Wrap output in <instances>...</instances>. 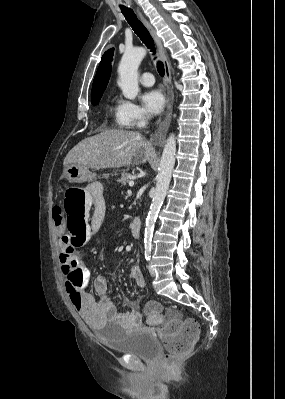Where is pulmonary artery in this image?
Returning <instances> with one entry per match:
<instances>
[{"label":"pulmonary artery","instance_id":"pulmonary-artery-1","mask_svg":"<svg viewBox=\"0 0 285 399\" xmlns=\"http://www.w3.org/2000/svg\"><path fill=\"white\" fill-rule=\"evenodd\" d=\"M140 83L144 86H152L154 84L152 73L144 72L140 77Z\"/></svg>","mask_w":285,"mask_h":399}]
</instances>
